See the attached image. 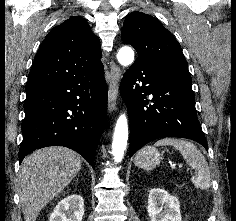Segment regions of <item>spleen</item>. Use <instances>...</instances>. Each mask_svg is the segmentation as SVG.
Masks as SVG:
<instances>
[{
    "label": "spleen",
    "instance_id": "1",
    "mask_svg": "<svg viewBox=\"0 0 236 221\" xmlns=\"http://www.w3.org/2000/svg\"><path fill=\"white\" fill-rule=\"evenodd\" d=\"M155 146L171 145L180 152L189 166L195 169L192 183L202 190L208 189L211 184L208 163L197 147L186 140L177 138H163L155 142Z\"/></svg>",
    "mask_w": 236,
    "mask_h": 221
}]
</instances>
